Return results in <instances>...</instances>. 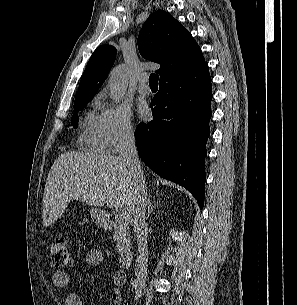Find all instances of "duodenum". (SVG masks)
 I'll list each match as a JSON object with an SVG mask.
<instances>
[{"instance_id": "obj_1", "label": "duodenum", "mask_w": 297, "mask_h": 305, "mask_svg": "<svg viewBox=\"0 0 297 305\" xmlns=\"http://www.w3.org/2000/svg\"><path fill=\"white\" fill-rule=\"evenodd\" d=\"M100 224L105 228H111L112 222L107 216H102L100 218ZM134 259V253L128 246L127 242H123L121 251L119 253V263L123 267H129Z\"/></svg>"}]
</instances>
